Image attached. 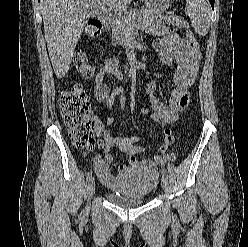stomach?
<instances>
[{"label": "stomach", "instance_id": "stomach-1", "mask_svg": "<svg viewBox=\"0 0 248 247\" xmlns=\"http://www.w3.org/2000/svg\"><path fill=\"white\" fill-rule=\"evenodd\" d=\"M143 3L152 11L164 12L169 7L170 0H142Z\"/></svg>", "mask_w": 248, "mask_h": 247}]
</instances>
